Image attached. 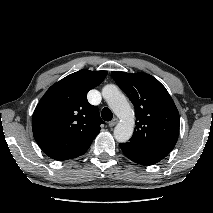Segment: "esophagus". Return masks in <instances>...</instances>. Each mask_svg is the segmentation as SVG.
<instances>
[{"label":"esophagus","mask_w":213,"mask_h":213,"mask_svg":"<svg viewBox=\"0 0 213 213\" xmlns=\"http://www.w3.org/2000/svg\"><path fill=\"white\" fill-rule=\"evenodd\" d=\"M118 123V119L114 118L109 122V127H113Z\"/></svg>","instance_id":"34e87169"}]
</instances>
